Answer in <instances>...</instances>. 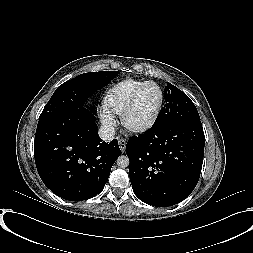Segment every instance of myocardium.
<instances>
[{
    "mask_svg": "<svg viewBox=\"0 0 253 253\" xmlns=\"http://www.w3.org/2000/svg\"><path fill=\"white\" fill-rule=\"evenodd\" d=\"M148 85H154L155 87H157V89L160 92V102L158 104V107L156 109V111L154 112L152 118L150 119V121L144 125L141 126H134L129 122V117L131 112L133 111L138 97L141 93V91ZM164 102H165V94L164 91L162 89V87L155 81H145L142 84H140L132 93L128 103L126 104L122 114H121V122L122 125L131 133H135V134H142L145 133L147 131H149L150 129H152L154 127V125L157 123L158 118L162 112L163 106H164Z\"/></svg>",
    "mask_w": 253,
    "mask_h": 253,
    "instance_id": "myocardium-1",
    "label": "myocardium"
}]
</instances>
